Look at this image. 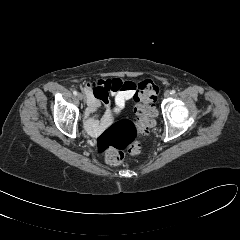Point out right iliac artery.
<instances>
[{
	"label": "right iliac artery",
	"instance_id": "right-iliac-artery-1",
	"mask_svg": "<svg viewBox=\"0 0 240 240\" xmlns=\"http://www.w3.org/2000/svg\"><path fill=\"white\" fill-rule=\"evenodd\" d=\"M73 94H74V95H77L78 93H77V91H76V90H74V91H73Z\"/></svg>",
	"mask_w": 240,
	"mask_h": 240
}]
</instances>
